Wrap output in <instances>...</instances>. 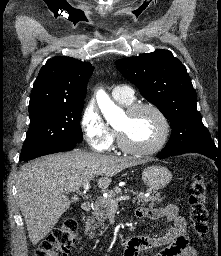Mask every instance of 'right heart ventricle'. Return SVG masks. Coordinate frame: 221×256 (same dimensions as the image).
<instances>
[{"label": "right heart ventricle", "instance_id": "obj_1", "mask_svg": "<svg viewBox=\"0 0 221 256\" xmlns=\"http://www.w3.org/2000/svg\"><path fill=\"white\" fill-rule=\"evenodd\" d=\"M116 100H117L119 103H121V104H123V105H126V106L132 104V102H133V101L127 102V101H122V100H118V99H116Z\"/></svg>", "mask_w": 221, "mask_h": 256}]
</instances>
